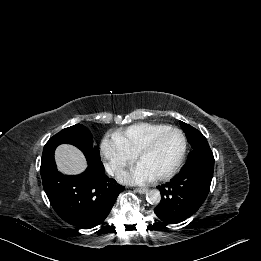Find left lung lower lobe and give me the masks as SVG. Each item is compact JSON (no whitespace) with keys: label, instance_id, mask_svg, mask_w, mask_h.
<instances>
[{"label":"left lung lower lobe","instance_id":"left-lung-lower-lobe-1","mask_svg":"<svg viewBox=\"0 0 261 261\" xmlns=\"http://www.w3.org/2000/svg\"><path fill=\"white\" fill-rule=\"evenodd\" d=\"M214 157L207 142L193 149L181 172L158 186L161 202L154 209L165 223L175 224L192 216L205 201L213 176Z\"/></svg>","mask_w":261,"mask_h":261}]
</instances>
